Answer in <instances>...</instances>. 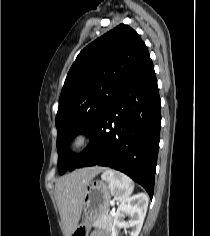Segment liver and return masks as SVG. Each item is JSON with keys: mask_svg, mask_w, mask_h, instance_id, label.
<instances>
[{"mask_svg": "<svg viewBox=\"0 0 210 236\" xmlns=\"http://www.w3.org/2000/svg\"><path fill=\"white\" fill-rule=\"evenodd\" d=\"M104 169L98 166L79 169L57 180L55 192L65 236H71L79 223L87 185Z\"/></svg>", "mask_w": 210, "mask_h": 236, "instance_id": "liver-1", "label": "liver"}]
</instances>
